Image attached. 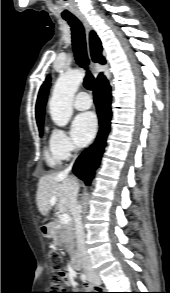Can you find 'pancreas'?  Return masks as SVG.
<instances>
[{"label": "pancreas", "mask_w": 170, "mask_h": 293, "mask_svg": "<svg viewBox=\"0 0 170 293\" xmlns=\"http://www.w3.org/2000/svg\"><path fill=\"white\" fill-rule=\"evenodd\" d=\"M51 236L56 244L66 245L68 252L74 253L76 235L73 223L62 224L60 221H56L52 227Z\"/></svg>", "instance_id": "obj_1"}]
</instances>
